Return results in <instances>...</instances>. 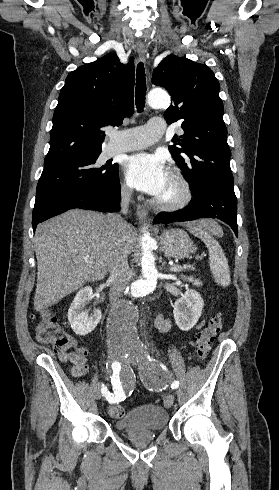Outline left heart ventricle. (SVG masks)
<instances>
[{
  "label": "left heart ventricle",
  "instance_id": "b2bd125f",
  "mask_svg": "<svg viewBox=\"0 0 279 490\" xmlns=\"http://www.w3.org/2000/svg\"><path fill=\"white\" fill-rule=\"evenodd\" d=\"M180 194V190L177 185L173 182L171 176L169 178V184L168 187L164 193V195L160 198L163 200H174L176 199Z\"/></svg>",
  "mask_w": 279,
  "mask_h": 490
}]
</instances>
